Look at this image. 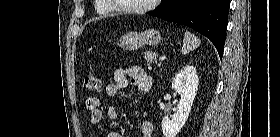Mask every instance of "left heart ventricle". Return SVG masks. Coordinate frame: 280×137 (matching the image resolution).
<instances>
[{"instance_id": "obj_1", "label": "left heart ventricle", "mask_w": 280, "mask_h": 137, "mask_svg": "<svg viewBox=\"0 0 280 137\" xmlns=\"http://www.w3.org/2000/svg\"><path fill=\"white\" fill-rule=\"evenodd\" d=\"M148 3V0H121L123 7H139Z\"/></svg>"}]
</instances>
